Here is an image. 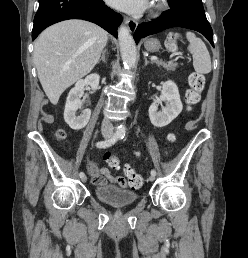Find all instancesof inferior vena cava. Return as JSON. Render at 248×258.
<instances>
[{"mask_svg": "<svg viewBox=\"0 0 248 258\" xmlns=\"http://www.w3.org/2000/svg\"><path fill=\"white\" fill-rule=\"evenodd\" d=\"M101 131L103 134H113V125L109 118L105 117L102 122Z\"/></svg>", "mask_w": 248, "mask_h": 258, "instance_id": "obj_1", "label": "inferior vena cava"}]
</instances>
